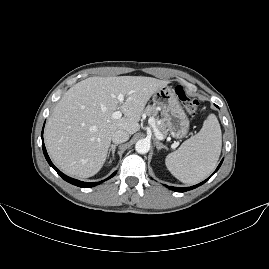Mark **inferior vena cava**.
I'll list each match as a JSON object with an SVG mask.
<instances>
[{"mask_svg":"<svg viewBox=\"0 0 269 269\" xmlns=\"http://www.w3.org/2000/svg\"><path fill=\"white\" fill-rule=\"evenodd\" d=\"M111 139L115 144L124 143L128 141L129 133L125 130H117L112 134Z\"/></svg>","mask_w":269,"mask_h":269,"instance_id":"inferior-vena-cava-1","label":"inferior vena cava"}]
</instances>
